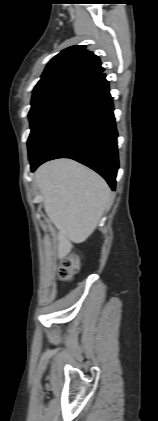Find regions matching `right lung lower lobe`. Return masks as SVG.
<instances>
[{
  "label": "right lung lower lobe",
  "mask_w": 158,
  "mask_h": 421,
  "mask_svg": "<svg viewBox=\"0 0 158 421\" xmlns=\"http://www.w3.org/2000/svg\"><path fill=\"white\" fill-rule=\"evenodd\" d=\"M56 158L89 166L115 189L117 131L108 81L102 72L82 84L59 109L29 157L31 170Z\"/></svg>",
  "instance_id": "obj_1"
}]
</instances>
